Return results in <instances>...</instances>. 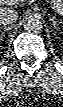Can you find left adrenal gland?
<instances>
[{
	"instance_id": "1",
	"label": "left adrenal gland",
	"mask_w": 63,
	"mask_h": 107,
	"mask_svg": "<svg viewBox=\"0 0 63 107\" xmlns=\"http://www.w3.org/2000/svg\"><path fill=\"white\" fill-rule=\"evenodd\" d=\"M49 18L52 21L54 28H57V25L61 24V19H58L56 17H53L52 15L49 14Z\"/></svg>"
}]
</instances>
